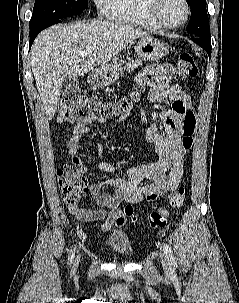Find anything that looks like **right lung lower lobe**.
<instances>
[{"instance_id":"obj_1","label":"right lung lower lobe","mask_w":239,"mask_h":303,"mask_svg":"<svg viewBox=\"0 0 239 303\" xmlns=\"http://www.w3.org/2000/svg\"><path fill=\"white\" fill-rule=\"evenodd\" d=\"M62 19H56L52 21L50 24L47 25H39L33 28H30V42H29V49L31 48V45L33 44V41L35 40V37L45 28L56 24V23H61Z\"/></svg>"}]
</instances>
